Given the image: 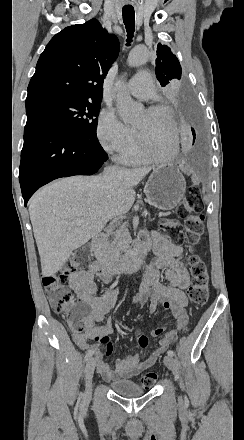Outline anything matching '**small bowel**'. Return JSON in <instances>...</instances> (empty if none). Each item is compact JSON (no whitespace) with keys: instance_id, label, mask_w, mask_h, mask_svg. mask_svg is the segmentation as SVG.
Segmentation results:
<instances>
[{"instance_id":"small-bowel-1","label":"small bowel","mask_w":244,"mask_h":440,"mask_svg":"<svg viewBox=\"0 0 244 440\" xmlns=\"http://www.w3.org/2000/svg\"><path fill=\"white\" fill-rule=\"evenodd\" d=\"M140 236L142 245L147 248L152 246L155 258L147 267L139 292L134 296L133 302L143 305L149 301L150 312H154L161 305L172 312L176 321L175 328L165 334L162 326L150 331L152 336L162 335V337L145 359L135 354L117 360L114 365L105 361V358L112 356L114 352V345L110 338L113 323L111 319L105 320V318L114 307L119 291L116 288H110L104 295L96 296L98 286L94 282V277L98 276L103 284H109L113 281V273L106 271L102 263L95 262L75 271L69 279V285L78 300H83L84 304L92 309V314L89 316L91 325L86 327V338H73V341L82 351L94 349L95 354L91 361L98 373L107 381L129 379L151 367L167 349L176 334L186 329L189 323L186 310L188 299L184 290L190 285V277L180 260L183 248L171 243L157 231H145ZM160 270H163L164 278L169 285L162 283ZM102 321L104 323L97 324Z\"/></svg>"}]
</instances>
